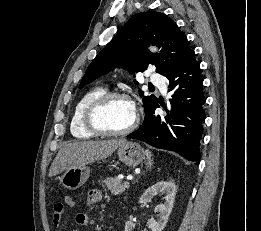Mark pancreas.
<instances>
[{
	"label": "pancreas",
	"instance_id": "pancreas-1",
	"mask_svg": "<svg viewBox=\"0 0 261 231\" xmlns=\"http://www.w3.org/2000/svg\"><path fill=\"white\" fill-rule=\"evenodd\" d=\"M103 182L113 195H120L129 188V185L122 184L121 180H119L117 177L106 178L105 180H103Z\"/></svg>",
	"mask_w": 261,
	"mask_h": 231
}]
</instances>
